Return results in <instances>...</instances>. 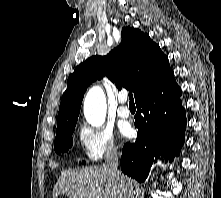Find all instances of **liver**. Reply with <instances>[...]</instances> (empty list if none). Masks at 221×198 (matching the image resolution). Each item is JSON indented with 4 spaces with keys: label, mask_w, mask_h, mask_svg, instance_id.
I'll list each match as a JSON object with an SVG mask.
<instances>
[{
    "label": "liver",
    "mask_w": 221,
    "mask_h": 198,
    "mask_svg": "<svg viewBox=\"0 0 221 198\" xmlns=\"http://www.w3.org/2000/svg\"><path fill=\"white\" fill-rule=\"evenodd\" d=\"M124 198L118 182L103 166L62 171L53 198Z\"/></svg>",
    "instance_id": "6515ba94"
}]
</instances>
